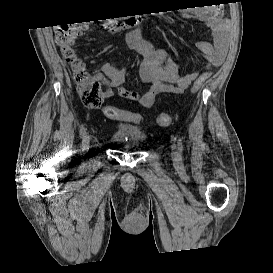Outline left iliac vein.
Returning <instances> with one entry per match:
<instances>
[{"mask_svg": "<svg viewBox=\"0 0 273 273\" xmlns=\"http://www.w3.org/2000/svg\"><path fill=\"white\" fill-rule=\"evenodd\" d=\"M171 156H172V159L175 163L179 162V154H178L177 147L175 144H173L171 147Z\"/></svg>", "mask_w": 273, "mask_h": 273, "instance_id": "left-iliac-vein-1", "label": "left iliac vein"}]
</instances>
